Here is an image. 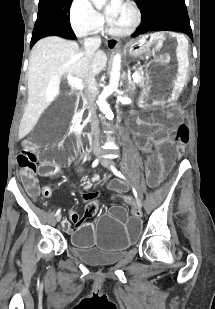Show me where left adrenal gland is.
<instances>
[{
    "label": "left adrenal gland",
    "mask_w": 215,
    "mask_h": 309,
    "mask_svg": "<svg viewBox=\"0 0 215 309\" xmlns=\"http://www.w3.org/2000/svg\"><path fill=\"white\" fill-rule=\"evenodd\" d=\"M129 82H132V80H129ZM129 82H128V84H129Z\"/></svg>",
    "instance_id": "1"
}]
</instances>
